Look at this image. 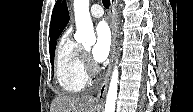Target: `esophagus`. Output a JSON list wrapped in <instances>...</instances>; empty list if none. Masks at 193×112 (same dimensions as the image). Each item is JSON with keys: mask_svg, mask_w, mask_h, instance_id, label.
<instances>
[{"mask_svg": "<svg viewBox=\"0 0 193 112\" xmlns=\"http://www.w3.org/2000/svg\"><path fill=\"white\" fill-rule=\"evenodd\" d=\"M110 25L112 30V50H111V56H110V63L107 69V72L103 78V81L99 87L96 99L102 100L105 97L109 78L112 70L113 65V58H114V52H115V0H110Z\"/></svg>", "mask_w": 193, "mask_h": 112, "instance_id": "1", "label": "esophagus"}]
</instances>
